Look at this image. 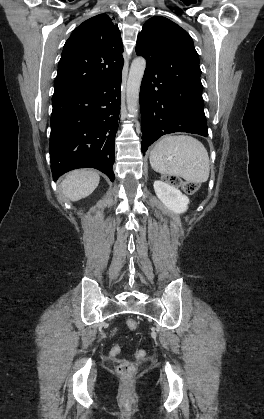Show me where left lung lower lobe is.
Masks as SVG:
<instances>
[{"mask_svg": "<svg viewBox=\"0 0 264 419\" xmlns=\"http://www.w3.org/2000/svg\"><path fill=\"white\" fill-rule=\"evenodd\" d=\"M137 54L147 60L140 88L142 153L162 135L173 132L207 137L201 81L165 77L158 69L154 51Z\"/></svg>", "mask_w": 264, "mask_h": 419, "instance_id": "1", "label": "left lung lower lobe"}]
</instances>
